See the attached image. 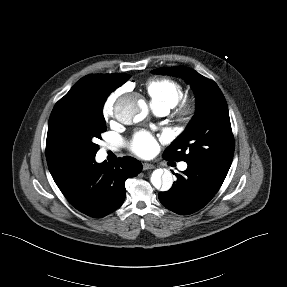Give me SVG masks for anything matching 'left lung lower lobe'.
I'll list each match as a JSON object with an SVG mask.
<instances>
[{"label": "left lung lower lobe", "mask_w": 287, "mask_h": 287, "mask_svg": "<svg viewBox=\"0 0 287 287\" xmlns=\"http://www.w3.org/2000/svg\"><path fill=\"white\" fill-rule=\"evenodd\" d=\"M182 174L172 188L158 194L160 202L169 210L181 214H191L204 207L217 193L225 177L208 168L187 163Z\"/></svg>", "instance_id": "1"}]
</instances>
